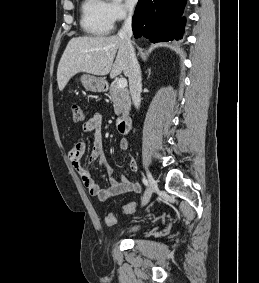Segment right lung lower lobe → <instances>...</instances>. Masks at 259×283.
Wrapping results in <instances>:
<instances>
[{
  "instance_id": "98d812e1",
  "label": "right lung lower lobe",
  "mask_w": 259,
  "mask_h": 283,
  "mask_svg": "<svg viewBox=\"0 0 259 283\" xmlns=\"http://www.w3.org/2000/svg\"><path fill=\"white\" fill-rule=\"evenodd\" d=\"M185 4L186 0H139L132 19L135 37L143 35L153 43L180 39Z\"/></svg>"
}]
</instances>
